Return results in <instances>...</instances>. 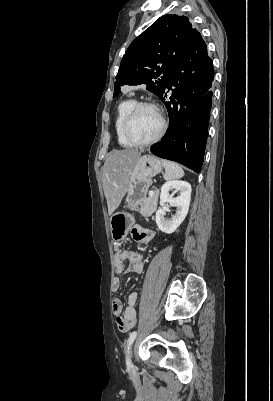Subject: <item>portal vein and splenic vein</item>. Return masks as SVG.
I'll return each instance as SVG.
<instances>
[{"mask_svg":"<svg viewBox=\"0 0 273 401\" xmlns=\"http://www.w3.org/2000/svg\"><path fill=\"white\" fill-rule=\"evenodd\" d=\"M153 193H154V190H153V189H150V190H149V193H148V196H149V197H152V196H153Z\"/></svg>","mask_w":273,"mask_h":401,"instance_id":"portal-vein-and-splenic-vein-1","label":"portal vein and splenic vein"}]
</instances>
